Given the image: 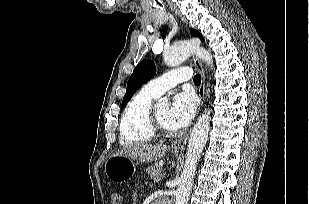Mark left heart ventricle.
Returning <instances> with one entry per match:
<instances>
[{"label": "left heart ventricle", "mask_w": 309, "mask_h": 204, "mask_svg": "<svg viewBox=\"0 0 309 204\" xmlns=\"http://www.w3.org/2000/svg\"><path fill=\"white\" fill-rule=\"evenodd\" d=\"M155 112H156L159 122L163 126L169 128V125H168L169 108L167 106H160V107L155 108Z\"/></svg>", "instance_id": "left-heart-ventricle-1"}]
</instances>
